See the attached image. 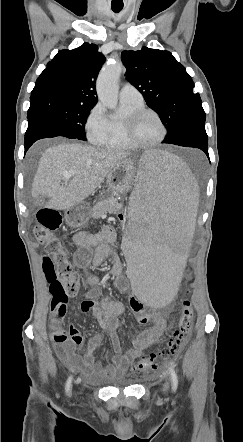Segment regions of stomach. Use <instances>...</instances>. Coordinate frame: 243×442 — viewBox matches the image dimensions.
Masks as SVG:
<instances>
[{
    "label": "stomach",
    "mask_w": 243,
    "mask_h": 442,
    "mask_svg": "<svg viewBox=\"0 0 243 442\" xmlns=\"http://www.w3.org/2000/svg\"><path fill=\"white\" fill-rule=\"evenodd\" d=\"M136 175L134 164L131 160H123L110 171L107 176V186L110 190L120 194L130 191L133 177ZM66 224L70 227H81L88 221V207L84 204H77L65 212Z\"/></svg>",
    "instance_id": "1"
}]
</instances>
